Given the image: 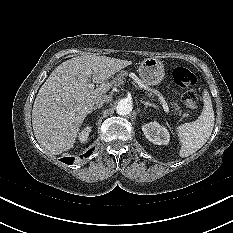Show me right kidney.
<instances>
[{
  "instance_id": "1",
  "label": "right kidney",
  "mask_w": 233,
  "mask_h": 233,
  "mask_svg": "<svg viewBox=\"0 0 233 233\" xmlns=\"http://www.w3.org/2000/svg\"><path fill=\"white\" fill-rule=\"evenodd\" d=\"M91 132V127L86 126L79 134V141L84 143L88 140L89 133Z\"/></svg>"
}]
</instances>
